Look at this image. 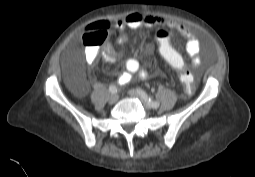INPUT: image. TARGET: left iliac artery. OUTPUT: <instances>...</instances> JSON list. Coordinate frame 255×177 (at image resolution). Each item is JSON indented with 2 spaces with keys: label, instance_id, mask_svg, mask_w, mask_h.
<instances>
[{
  "label": "left iliac artery",
  "instance_id": "1",
  "mask_svg": "<svg viewBox=\"0 0 255 177\" xmlns=\"http://www.w3.org/2000/svg\"><path fill=\"white\" fill-rule=\"evenodd\" d=\"M137 91L140 92V94L148 101V103L153 107V108H158L159 107V102L153 101L148 95L141 89H137Z\"/></svg>",
  "mask_w": 255,
  "mask_h": 177
}]
</instances>
